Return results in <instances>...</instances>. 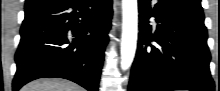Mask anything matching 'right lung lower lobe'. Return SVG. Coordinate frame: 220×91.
I'll list each match as a JSON object with an SVG mask.
<instances>
[{
	"label": "right lung lower lobe",
	"instance_id": "obj_1",
	"mask_svg": "<svg viewBox=\"0 0 220 91\" xmlns=\"http://www.w3.org/2000/svg\"><path fill=\"white\" fill-rule=\"evenodd\" d=\"M112 0H52L25 8L13 91L43 77L98 91Z\"/></svg>",
	"mask_w": 220,
	"mask_h": 91
}]
</instances>
